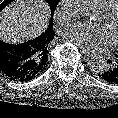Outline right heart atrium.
<instances>
[{"mask_svg":"<svg viewBox=\"0 0 118 118\" xmlns=\"http://www.w3.org/2000/svg\"><path fill=\"white\" fill-rule=\"evenodd\" d=\"M73 0H62V5L55 11V19L58 22H65L70 19V14L66 10V6L71 3Z\"/></svg>","mask_w":118,"mask_h":118,"instance_id":"obj_1","label":"right heart atrium"}]
</instances>
